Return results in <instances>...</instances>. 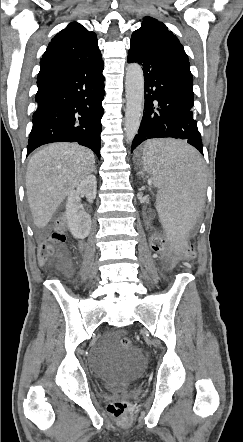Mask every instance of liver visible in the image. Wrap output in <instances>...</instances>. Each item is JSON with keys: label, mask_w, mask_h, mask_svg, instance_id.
I'll return each instance as SVG.
<instances>
[{"label": "liver", "mask_w": 243, "mask_h": 442, "mask_svg": "<svg viewBox=\"0 0 243 442\" xmlns=\"http://www.w3.org/2000/svg\"><path fill=\"white\" fill-rule=\"evenodd\" d=\"M95 164L91 150L77 143H53L37 151L26 172V192L37 228H44L73 189Z\"/></svg>", "instance_id": "6515ba94"}]
</instances>
